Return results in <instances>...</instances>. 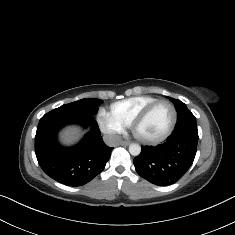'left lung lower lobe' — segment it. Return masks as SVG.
I'll return each mask as SVG.
<instances>
[{
  "label": "left lung lower lobe",
  "instance_id": "left-lung-lower-lobe-1",
  "mask_svg": "<svg viewBox=\"0 0 235 235\" xmlns=\"http://www.w3.org/2000/svg\"><path fill=\"white\" fill-rule=\"evenodd\" d=\"M197 143L198 133L182 131L156 147L143 146L133 161L136 172L153 184H173L191 167Z\"/></svg>",
  "mask_w": 235,
  "mask_h": 235
}]
</instances>
